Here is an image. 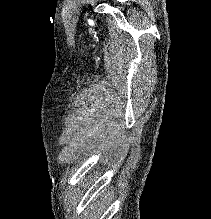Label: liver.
<instances>
[{
    "mask_svg": "<svg viewBox=\"0 0 211 219\" xmlns=\"http://www.w3.org/2000/svg\"><path fill=\"white\" fill-rule=\"evenodd\" d=\"M99 214H100L99 210L97 211L96 206H93L88 219H98Z\"/></svg>",
    "mask_w": 211,
    "mask_h": 219,
    "instance_id": "1",
    "label": "liver"
}]
</instances>
